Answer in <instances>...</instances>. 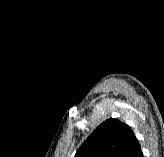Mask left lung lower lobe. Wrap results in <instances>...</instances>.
I'll return each mask as SVG.
<instances>
[{
  "mask_svg": "<svg viewBox=\"0 0 164 157\" xmlns=\"http://www.w3.org/2000/svg\"><path fill=\"white\" fill-rule=\"evenodd\" d=\"M126 157H143V153L137 139H135V141L130 146Z\"/></svg>",
  "mask_w": 164,
  "mask_h": 157,
  "instance_id": "0a47b994",
  "label": "left lung lower lobe"
}]
</instances>
